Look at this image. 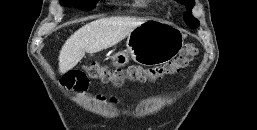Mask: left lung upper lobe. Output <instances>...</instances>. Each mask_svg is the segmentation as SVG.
Segmentation results:
<instances>
[{"mask_svg":"<svg viewBox=\"0 0 257 130\" xmlns=\"http://www.w3.org/2000/svg\"><path fill=\"white\" fill-rule=\"evenodd\" d=\"M179 1L187 8V12L184 14V21L189 26L196 28L198 26V21L191 15V10L195 4L194 0H179Z\"/></svg>","mask_w":257,"mask_h":130,"instance_id":"5c2ea615","label":"left lung upper lobe"}]
</instances>
